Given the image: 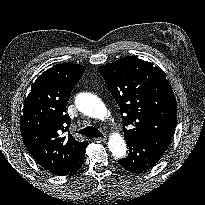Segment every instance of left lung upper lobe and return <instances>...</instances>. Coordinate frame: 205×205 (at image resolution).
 Wrapping results in <instances>:
<instances>
[{"label":"left lung upper lobe","instance_id":"1","mask_svg":"<svg viewBox=\"0 0 205 205\" xmlns=\"http://www.w3.org/2000/svg\"><path fill=\"white\" fill-rule=\"evenodd\" d=\"M99 72L120 106L123 123L133 126L124 131L125 139L173 136L176 102L161 70L148 61L128 56L100 66Z\"/></svg>","mask_w":205,"mask_h":205}]
</instances>
